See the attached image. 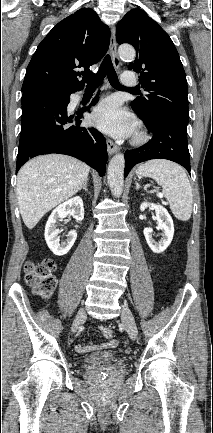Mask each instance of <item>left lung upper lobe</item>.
<instances>
[{"label":"left lung upper lobe","instance_id":"5c2ea615","mask_svg":"<svg viewBox=\"0 0 213 433\" xmlns=\"http://www.w3.org/2000/svg\"><path fill=\"white\" fill-rule=\"evenodd\" d=\"M116 40L136 49V59L128 68L139 74L141 87L148 92L131 102L133 110L146 119L170 114L188 122L186 75L169 35L136 8L118 23Z\"/></svg>","mask_w":213,"mask_h":433}]
</instances>
